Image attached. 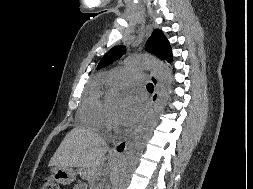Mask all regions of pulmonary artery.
<instances>
[{"instance_id":"pulmonary-artery-1","label":"pulmonary artery","mask_w":253,"mask_h":189,"mask_svg":"<svg viewBox=\"0 0 253 189\" xmlns=\"http://www.w3.org/2000/svg\"><path fill=\"white\" fill-rule=\"evenodd\" d=\"M144 80V76L135 72H125L119 77L111 81L112 85L124 86L133 84H140Z\"/></svg>"}]
</instances>
